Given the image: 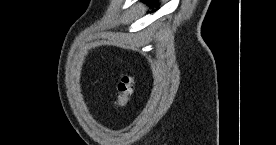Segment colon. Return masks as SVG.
Here are the masks:
<instances>
[{"mask_svg":"<svg viewBox=\"0 0 276 145\" xmlns=\"http://www.w3.org/2000/svg\"><path fill=\"white\" fill-rule=\"evenodd\" d=\"M135 81L129 74H124L117 86V95L115 99V106L118 109H123L129 102L134 93Z\"/></svg>","mask_w":276,"mask_h":145,"instance_id":"colon-1","label":"colon"}]
</instances>
